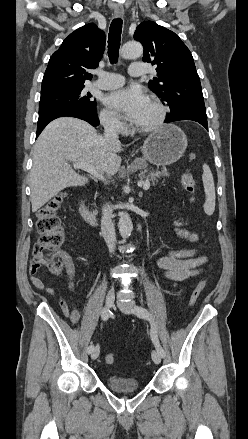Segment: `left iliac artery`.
<instances>
[{
    "instance_id": "1",
    "label": "left iliac artery",
    "mask_w": 248,
    "mask_h": 439,
    "mask_svg": "<svg viewBox=\"0 0 248 439\" xmlns=\"http://www.w3.org/2000/svg\"><path fill=\"white\" fill-rule=\"evenodd\" d=\"M133 311L137 316L145 318L151 323V339L156 347V350L159 352L161 357H164L165 351L163 350V348L161 347V345L159 343L158 335H157L156 328L154 326V319H153L152 315L148 312L147 309H145L144 307H141V306H135Z\"/></svg>"
}]
</instances>
